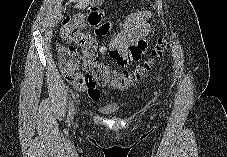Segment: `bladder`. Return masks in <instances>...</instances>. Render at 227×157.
Segmentation results:
<instances>
[{"instance_id":"bladder-1","label":"bladder","mask_w":227,"mask_h":157,"mask_svg":"<svg viewBox=\"0 0 227 157\" xmlns=\"http://www.w3.org/2000/svg\"><path fill=\"white\" fill-rule=\"evenodd\" d=\"M103 111L105 113L112 114V113L117 112V109L115 107H106V108L103 109Z\"/></svg>"}]
</instances>
